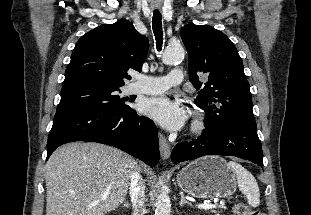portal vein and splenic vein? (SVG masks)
Masks as SVG:
<instances>
[{
	"mask_svg": "<svg viewBox=\"0 0 311 215\" xmlns=\"http://www.w3.org/2000/svg\"><path fill=\"white\" fill-rule=\"evenodd\" d=\"M216 205L211 204V203H204V204H199L198 208H203V209H210V208H215Z\"/></svg>",
	"mask_w": 311,
	"mask_h": 215,
	"instance_id": "portal-vein-and-splenic-vein-1",
	"label": "portal vein and splenic vein"
}]
</instances>
